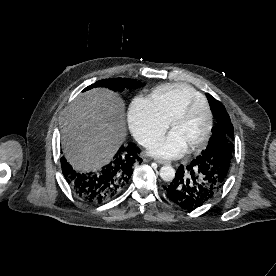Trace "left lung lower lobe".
Listing matches in <instances>:
<instances>
[{"mask_svg": "<svg viewBox=\"0 0 276 276\" xmlns=\"http://www.w3.org/2000/svg\"><path fill=\"white\" fill-rule=\"evenodd\" d=\"M222 178L204 158L198 156L186 167L181 165L175 178L164 189L167 197L183 209L193 210L210 201L222 188Z\"/></svg>", "mask_w": 276, "mask_h": 276, "instance_id": "left-lung-lower-lobe-1", "label": "left lung lower lobe"}]
</instances>
